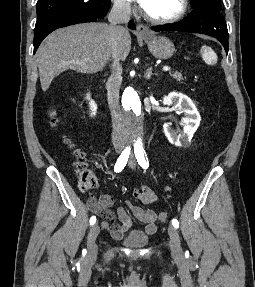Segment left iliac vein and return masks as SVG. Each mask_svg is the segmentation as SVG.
Segmentation results:
<instances>
[{"instance_id": "left-iliac-vein-1", "label": "left iliac vein", "mask_w": 255, "mask_h": 287, "mask_svg": "<svg viewBox=\"0 0 255 287\" xmlns=\"http://www.w3.org/2000/svg\"><path fill=\"white\" fill-rule=\"evenodd\" d=\"M135 166H136V163H135L134 157L131 156V158L129 160V167L135 168ZM168 234L170 237L171 251H172L174 256H179L182 252V249H181L180 239H179V235H178L176 228L172 225H169Z\"/></svg>"}]
</instances>
